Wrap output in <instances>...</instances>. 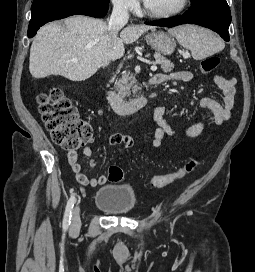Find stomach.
<instances>
[{"instance_id":"1","label":"stomach","mask_w":255,"mask_h":272,"mask_svg":"<svg viewBox=\"0 0 255 272\" xmlns=\"http://www.w3.org/2000/svg\"><path fill=\"white\" fill-rule=\"evenodd\" d=\"M145 40L155 51L163 55H171L176 48V41L171 33L152 30L145 35Z\"/></svg>"}]
</instances>
